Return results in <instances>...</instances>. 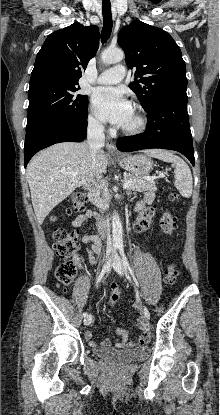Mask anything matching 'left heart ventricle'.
I'll return each instance as SVG.
<instances>
[{
  "mask_svg": "<svg viewBox=\"0 0 220 415\" xmlns=\"http://www.w3.org/2000/svg\"><path fill=\"white\" fill-rule=\"evenodd\" d=\"M135 121H136V117H135L134 112L132 111V114H131L130 118L127 120V122L124 124V126L133 125L135 123Z\"/></svg>",
  "mask_w": 220,
  "mask_h": 415,
  "instance_id": "b2bd125f",
  "label": "left heart ventricle"
}]
</instances>
